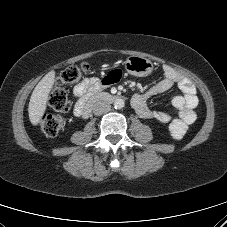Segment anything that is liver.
<instances>
[{"label": "liver", "mask_w": 227, "mask_h": 227, "mask_svg": "<svg viewBox=\"0 0 227 227\" xmlns=\"http://www.w3.org/2000/svg\"><path fill=\"white\" fill-rule=\"evenodd\" d=\"M55 83V71L48 72L36 85L28 106L29 120L32 125L40 123L47 108V101L50 91Z\"/></svg>", "instance_id": "liver-1"}]
</instances>
